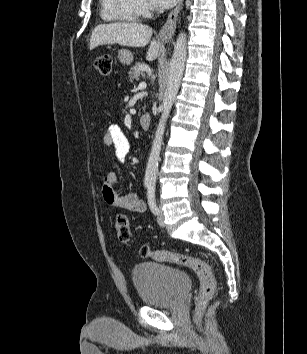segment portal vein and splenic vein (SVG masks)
<instances>
[{"label":"portal vein and splenic vein","instance_id":"1","mask_svg":"<svg viewBox=\"0 0 307 354\" xmlns=\"http://www.w3.org/2000/svg\"><path fill=\"white\" fill-rule=\"evenodd\" d=\"M145 88H146V83H145V82L139 83L138 89L143 90V89H145Z\"/></svg>","mask_w":307,"mask_h":354}]
</instances>
